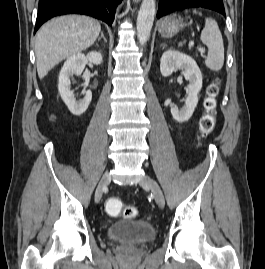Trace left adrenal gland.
Returning a JSON list of instances; mask_svg holds the SVG:
<instances>
[{
  "label": "left adrenal gland",
  "instance_id": "left-adrenal-gland-1",
  "mask_svg": "<svg viewBox=\"0 0 265 269\" xmlns=\"http://www.w3.org/2000/svg\"><path fill=\"white\" fill-rule=\"evenodd\" d=\"M167 45L165 43L161 44V47L164 49Z\"/></svg>",
  "mask_w": 265,
  "mask_h": 269
}]
</instances>
